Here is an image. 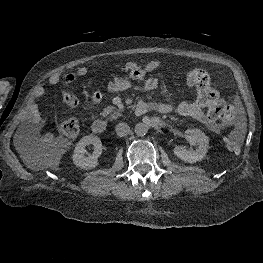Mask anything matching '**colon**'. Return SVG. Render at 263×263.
Wrapping results in <instances>:
<instances>
[{
    "mask_svg": "<svg viewBox=\"0 0 263 263\" xmlns=\"http://www.w3.org/2000/svg\"><path fill=\"white\" fill-rule=\"evenodd\" d=\"M185 82L196 89L197 98L208 110V116L223 123H230L234 118V109L226 101L222 100L218 92L211 85L209 73L203 69H194L185 74ZM63 134L69 138H75L80 132L79 122L75 118H67L61 124ZM228 151L238 153L243 143L241 131H232L225 139Z\"/></svg>",
    "mask_w": 263,
    "mask_h": 263,
    "instance_id": "1",
    "label": "colon"
}]
</instances>
